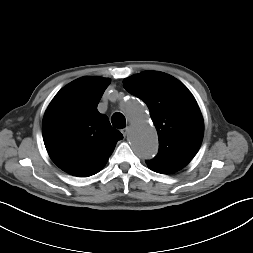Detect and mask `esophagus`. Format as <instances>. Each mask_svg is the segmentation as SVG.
<instances>
[{"label":"esophagus","instance_id":"obj_1","mask_svg":"<svg viewBox=\"0 0 253 253\" xmlns=\"http://www.w3.org/2000/svg\"><path fill=\"white\" fill-rule=\"evenodd\" d=\"M128 132H129V127H125L124 129H122V134L124 136H127Z\"/></svg>","mask_w":253,"mask_h":253}]
</instances>
